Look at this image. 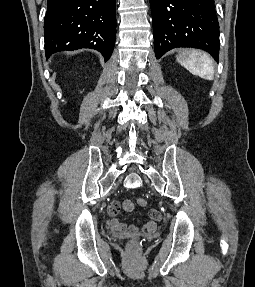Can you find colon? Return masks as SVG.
Here are the masks:
<instances>
[{"label": "colon", "mask_w": 255, "mask_h": 287, "mask_svg": "<svg viewBox=\"0 0 255 287\" xmlns=\"http://www.w3.org/2000/svg\"><path fill=\"white\" fill-rule=\"evenodd\" d=\"M137 203H138L140 206H146V205H147V201H146L145 199H143V198H138V199H137ZM130 245H131L132 247H134V246H136V242H135V241H131V242H130Z\"/></svg>", "instance_id": "1"}]
</instances>
